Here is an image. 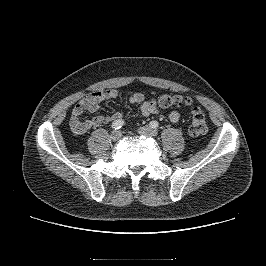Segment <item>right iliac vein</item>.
Masks as SVG:
<instances>
[{
    "mask_svg": "<svg viewBox=\"0 0 266 266\" xmlns=\"http://www.w3.org/2000/svg\"><path fill=\"white\" fill-rule=\"evenodd\" d=\"M121 135H122L121 131H119V130H114V131H112L111 134H110V139H111L112 141L116 142V141H118V140L121 138Z\"/></svg>",
    "mask_w": 266,
    "mask_h": 266,
    "instance_id": "obj_1",
    "label": "right iliac vein"
}]
</instances>
